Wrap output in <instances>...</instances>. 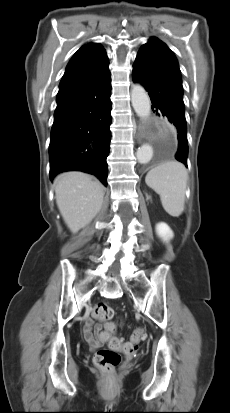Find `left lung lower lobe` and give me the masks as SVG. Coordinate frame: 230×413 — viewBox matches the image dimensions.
Wrapping results in <instances>:
<instances>
[{
  "mask_svg": "<svg viewBox=\"0 0 230 413\" xmlns=\"http://www.w3.org/2000/svg\"><path fill=\"white\" fill-rule=\"evenodd\" d=\"M132 79L148 91L153 111L175 125L178 139L175 158L187 167V126L180 72L157 52L141 48L133 64Z\"/></svg>",
  "mask_w": 230,
  "mask_h": 413,
  "instance_id": "left-lung-lower-lobe-1",
  "label": "left lung lower lobe"
}]
</instances>
